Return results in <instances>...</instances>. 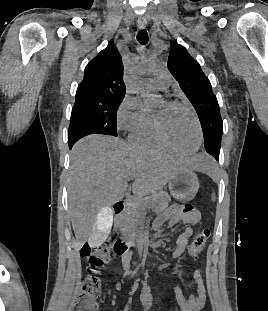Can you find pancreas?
Here are the masks:
<instances>
[{
	"label": "pancreas",
	"mask_w": 268,
	"mask_h": 311,
	"mask_svg": "<svg viewBox=\"0 0 268 311\" xmlns=\"http://www.w3.org/2000/svg\"><path fill=\"white\" fill-rule=\"evenodd\" d=\"M171 200L166 192L155 194L152 198L134 199L127 210L115 222V229L119 230L122 238L130 240L137 234L143 233L144 218L148 207L159 213L164 211Z\"/></svg>",
	"instance_id": "pancreas-1"
}]
</instances>
